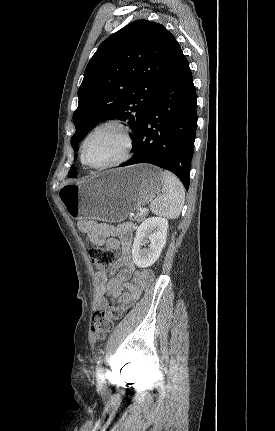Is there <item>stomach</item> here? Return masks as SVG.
I'll return each mask as SVG.
<instances>
[{"label": "stomach", "instance_id": "0dacf381", "mask_svg": "<svg viewBox=\"0 0 275 431\" xmlns=\"http://www.w3.org/2000/svg\"><path fill=\"white\" fill-rule=\"evenodd\" d=\"M163 182L159 168L139 164L113 169L75 184L65 183L59 197L74 219L116 223L147 204L160 191Z\"/></svg>", "mask_w": 275, "mask_h": 431}]
</instances>
